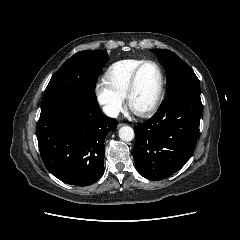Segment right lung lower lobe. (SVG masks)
Returning <instances> with one entry per match:
<instances>
[{
    "mask_svg": "<svg viewBox=\"0 0 240 240\" xmlns=\"http://www.w3.org/2000/svg\"><path fill=\"white\" fill-rule=\"evenodd\" d=\"M117 121L97 101L57 100L41 107L37 139L46 168L65 183L87 186L104 172V141Z\"/></svg>",
    "mask_w": 240,
    "mask_h": 240,
    "instance_id": "obj_1",
    "label": "right lung lower lobe"
}]
</instances>
